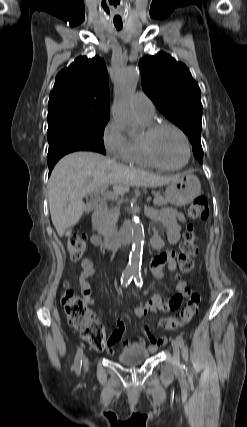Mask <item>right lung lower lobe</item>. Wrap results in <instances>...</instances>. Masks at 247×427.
Masks as SVG:
<instances>
[{"mask_svg":"<svg viewBox=\"0 0 247 427\" xmlns=\"http://www.w3.org/2000/svg\"><path fill=\"white\" fill-rule=\"evenodd\" d=\"M95 151L98 152L95 148L90 145L78 142L75 140H56L49 143V150L47 155V162L49 167V174L51 173L54 165L57 161L66 155L67 153L74 151Z\"/></svg>","mask_w":247,"mask_h":427,"instance_id":"obj_1","label":"right lung lower lobe"}]
</instances>
